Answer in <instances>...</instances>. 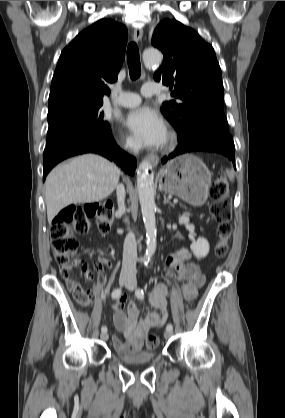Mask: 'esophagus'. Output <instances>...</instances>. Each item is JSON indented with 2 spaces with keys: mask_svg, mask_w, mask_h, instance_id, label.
I'll use <instances>...</instances> for the list:
<instances>
[{
  "mask_svg": "<svg viewBox=\"0 0 285 418\" xmlns=\"http://www.w3.org/2000/svg\"><path fill=\"white\" fill-rule=\"evenodd\" d=\"M133 36L136 42H140L143 36V29L140 27H136L134 29ZM150 161L153 166H156L159 163V157L156 154H152L150 157Z\"/></svg>",
  "mask_w": 285,
  "mask_h": 418,
  "instance_id": "obj_1",
  "label": "esophagus"
}]
</instances>
